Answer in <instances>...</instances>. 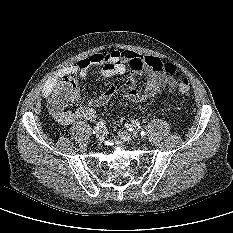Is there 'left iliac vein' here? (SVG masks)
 <instances>
[{"mask_svg": "<svg viewBox=\"0 0 233 233\" xmlns=\"http://www.w3.org/2000/svg\"><path fill=\"white\" fill-rule=\"evenodd\" d=\"M132 135L134 138H138L139 137V133L137 130L133 129L132 131ZM119 137L125 141V142H130L131 141V136L124 130H120L119 131Z\"/></svg>", "mask_w": 233, "mask_h": 233, "instance_id": "4c4485c4", "label": "left iliac vein"}]
</instances>
